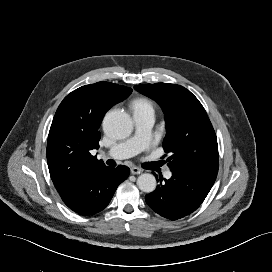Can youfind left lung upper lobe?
<instances>
[{"label":"left lung upper lobe","instance_id":"1","mask_svg":"<svg viewBox=\"0 0 272 272\" xmlns=\"http://www.w3.org/2000/svg\"><path fill=\"white\" fill-rule=\"evenodd\" d=\"M140 93L163 109L166 137L163 148L171 170H202L218 173L217 137L199 100L186 88L169 83L136 85Z\"/></svg>","mask_w":272,"mask_h":272}]
</instances>
